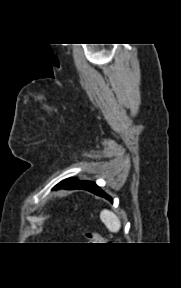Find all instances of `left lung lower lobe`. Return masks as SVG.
Segmentation results:
<instances>
[{"mask_svg":"<svg viewBox=\"0 0 181 288\" xmlns=\"http://www.w3.org/2000/svg\"><path fill=\"white\" fill-rule=\"evenodd\" d=\"M60 188H64V189H83V190H87L90 191L98 196L104 197L107 200H109L110 202H113L112 198L107 195L104 191H102L100 189V187H98L94 182L91 181H80L76 184H72V185H60L57 184L54 189H60Z\"/></svg>","mask_w":181,"mask_h":288,"instance_id":"obj_1","label":"left lung lower lobe"}]
</instances>
